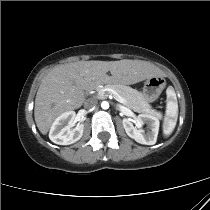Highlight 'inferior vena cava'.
Instances as JSON below:
<instances>
[{
    "instance_id": "1",
    "label": "inferior vena cava",
    "mask_w": 210,
    "mask_h": 210,
    "mask_svg": "<svg viewBox=\"0 0 210 210\" xmlns=\"http://www.w3.org/2000/svg\"><path fill=\"white\" fill-rule=\"evenodd\" d=\"M97 103H98V101H97L96 99L91 98V99H88V100L85 102V107H86V108H92V107L96 106Z\"/></svg>"
}]
</instances>
